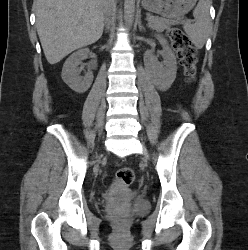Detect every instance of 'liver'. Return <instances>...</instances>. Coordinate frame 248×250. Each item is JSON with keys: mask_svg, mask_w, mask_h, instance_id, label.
I'll return each instance as SVG.
<instances>
[{"mask_svg": "<svg viewBox=\"0 0 248 250\" xmlns=\"http://www.w3.org/2000/svg\"><path fill=\"white\" fill-rule=\"evenodd\" d=\"M105 1L34 0L38 36L50 64L101 37Z\"/></svg>", "mask_w": 248, "mask_h": 250, "instance_id": "obj_1", "label": "liver"}]
</instances>
